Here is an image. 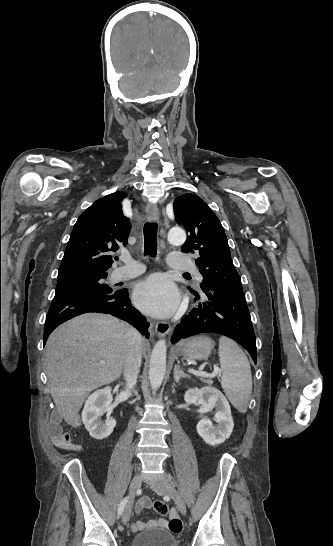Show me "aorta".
Listing matches in <instances>:
<instances>
[{
	"instance_id": "1",
	"label": "aorta",
	"mask_w": 333,
	"mask_h": 546,
	"mask_svg": "<svg viewBox=\"0 0 333 546\" xmlns=\"http://www.w3.org/2000/svg\"><path fill=\"white\" fill-rule=\"evenodd\" d=\"M168 241L173 245H181L186 240L185 231L178 227H173L168 231ZM166 371V341L159 340L151 353L149 364V381L151 388L157 390L164 379Z\"/></svg>"
}]
</instances>
